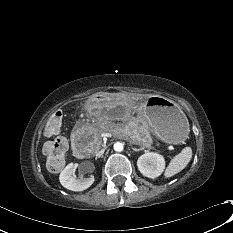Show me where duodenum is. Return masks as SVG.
<instances>
[{
    "label": "duodenum",
    "instance_id": "1",
    "mask_svg": "<svg viewBox=\"0 0 233 233\" xmlns=\"http://www.w3.org/2000/svg\"><path fill=\"white\" fill-rule=\"evenodd\" d=\"M72 149L74 154L79 158L84 157L87 152L83 142L80 139H78L76 136H74L72 139Z\"/></svg>",
    "mask_w": 233,
    "mask_h": 233
}]
</instances>
